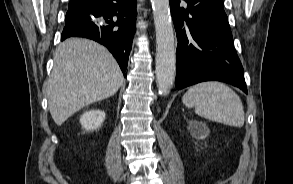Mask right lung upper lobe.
Segmentation results:
<instances>
[{
    "instance_id": "obj_1",
    "label": "right lung upper lobe",
    "mask_w": 293,
    "mask_h": 184,
    "mask_svg": "<svg viewBox=\"0 0 293 184\" xmlns=\"http://www.w3.org/2000/svg\"><path fill=\"white\" fill-rule=\"evenodd\" d=\"M83 1H88V0H70V3H69L68 7L75 6L77 4H80Z\"/></svg>"
}]
</instances>
